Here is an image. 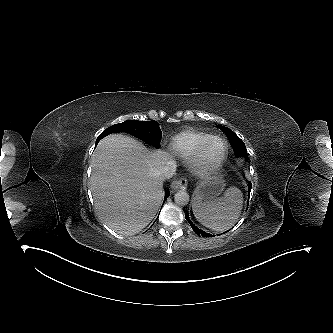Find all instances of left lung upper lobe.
Segmentation results:
<instances>
[{
	"label": "left lung upper lobe",
	"instance_id": "5c2ea615",
	"mask_svg": "<svg viewBox=\"0 0 333 333\" xmlns=\"http://www.w3.org/2000/svg\"><path fill=\"white\" fill-rule=\"evenodd\" d=\"M228 136L232 147L234 148L235 154L239 156H245V159L247 160L248 157L246 156L247 150L245 147L244 142L230 129L226 127H220Z\"/></svg>",
	"mask_w": 333,
	"mask_h": 333
}]
</instances>
